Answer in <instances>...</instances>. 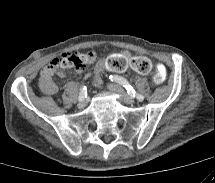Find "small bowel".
Listing matches in <instances>:
<instances>
[{
	"instance_id": "c3829d8e",
	"label": "small bowel",
	"mask_w": 215,
	"mask_h": 183,
	"mask_svg": "<svg viewBox=\"0 0 215 183\" xmlns=\"http://www.w3.org/2000/svg\"><path fill=\"white\" fill-rule=\"evenodd\" d=\"M91 56V61L93 62L96 58V53L94 51L89 52ZM54 59L49 65H47L40 73L38 79V87L41 92L45 95H54L57 93L58 88L53 82L52 78L55 74L62 77L63 74L57 72L54 69L53 63ZM128 68V70L137 76H146L152 70V61L145 54H134L130 55L128 51L121 50L117 52H108L103 58L99 59L96 63L97 71H103L105 69L113 72H123ZM79 69V71H82Z\"/></svg>"
}]
</instances>
